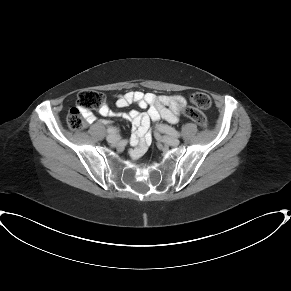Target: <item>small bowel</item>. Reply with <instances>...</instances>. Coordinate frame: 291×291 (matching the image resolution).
<instances>
[{
  "label": "small bowel",
  "mask_w": 291,
  "mask_h": 291,
  "mask_svg": "<svg viewBox=\"0 0 291 291\" xmlns=\"http://www.w3.org/2000/svg\"><path fill=\"white\" fill-rule=\"evenodd\" d=\"M133 103L137 104L141 109H147V112L142 113L137 110H131L126 113L115 114L107 104H104L100 107L99 113L102 116L117 115L131 123L134 131L132 144L135 145V148L131 150L130 154L136 158L146 151L147 144L151 140V134L148 131L150 121L164 118L171 122H177L179 113L186 105L187 99L180 95L157 96L153 93H143L141 91H129L117 96L116 106L118 108H124ZM82 115L90 124L98 122L90 110H83Z\"/></svg>",
  "instance_id": "c3829d8e"
}]
</instances>
